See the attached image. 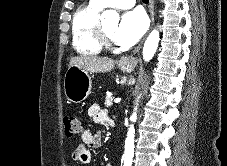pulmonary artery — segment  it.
<instances>
[{"label": "pulmonary artery", "instance_id": "e3ab8cb5", "mask_svg": "<svg viewBox=\"0 0 227 166\" xmlns=\"http://www.w3.org/2000/svg\"><path fill=\"white\" fill-rule=\"evenodd\" d=\"M103 7L112 6L118 9H129L132 8L136 0H94Z\"/></svg>", "mask_w": 227, "mask_h": 166}]
</instances>
